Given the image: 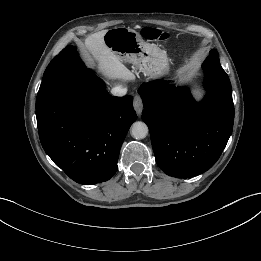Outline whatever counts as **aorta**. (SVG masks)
I'll list each match as a JSON object with an SVG mask.
<instances>
[{
    "label": "aorta",
    "instance_id": "762f6f07",
    "mask_svg": "<svg viewBox=\"0 0 261 261\" xmlns=\"http://www.w3.org/2000/svg\"><path fill=\"white\" fill-rule=\"evenodd\" d=\"M148 134V127L144 122L137 121L131 126V136L137 140L143 139Z\"/></svg>",
    "mask_w": 261,
    "mask_h": 261
}]
</instances>
